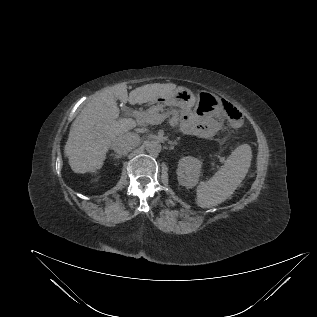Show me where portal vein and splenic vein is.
<instances>
[{"mask_svg":"<svg viewBox=\"0 0 317 317\" xmlns=\"http://www.w3.org/2000/svg\"><path fill=\"white\" fill-rule=\"evenodd\" d=\"M131 114L137 117L138 119H141L142 121L144 119H147L149 124H152V125L161 124L165 120V116L161 114H158L157 116H154V117H146L143 112H139V111H132Z\"/></svg>","mask_w":317,"mask_h":317,"instance_id":"portal-vein-and-splenic-vein-1","label":"portal vein and splenic vein"}]
</instances>
